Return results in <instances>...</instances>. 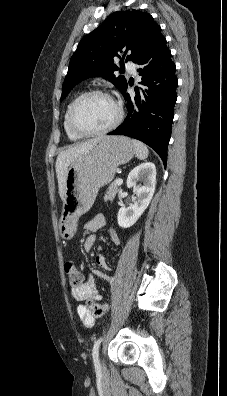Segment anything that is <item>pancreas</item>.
<instances>
[{
    "instance_id": "cf45deb5",
    "label": "pancreas",
    "mask_w": 227,
    "mask_h": 396,
    "mask_svg": "<svg viewBox=\"0 0 227 396\" xmlns=\"http://www.w3.org/2000/svg\"><path fill=\"white\" fill-rule=\"evenodd\" d=\"M117 192H118V185L116 184V181H114L108 187L107 193L104 196V200L105 201H113Z\"/></svg>"
}]
</instances>
